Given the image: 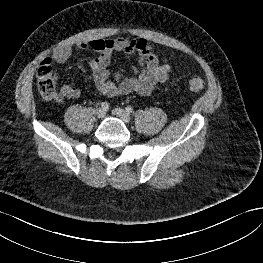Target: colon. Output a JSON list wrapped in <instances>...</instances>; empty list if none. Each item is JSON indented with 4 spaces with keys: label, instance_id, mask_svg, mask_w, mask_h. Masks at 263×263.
<instances>
[{
    "label": "colon",
    "instance_id": "1",
    "mask_svg": "<svg viewBox=\"0 0 263 263\" xmlns=\"http://www.w3.org/2000/svg\"><path fill=\"white\" fill-rule=\"evenodd\" d=\"M37 88L43 98L51 99L56 95L57 73L51 65V59H44L36 73ZM188 87L192 92H199L204 88V81L200 76L191 75Z\"/></svg>",
    "mask_w": 263,
    "mask_h": 263
}]
</instances>
